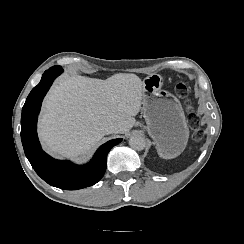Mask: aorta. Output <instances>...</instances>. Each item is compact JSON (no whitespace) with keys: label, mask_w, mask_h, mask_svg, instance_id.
<instances>
[{"label":"aorta","mask_w":244,"mask_h":244,"mask_svg":"<svg viewBox=\"0 0 244 244\" xmlns=\"http://www.w3.org/2000/svg\"><path fill=\"white\" fill-rule=\"evenodd\" d=\"M129 145L135 150H143L146 147V141L140 135H133L129 139Z\"/></svg>","instance_id":"762f6f07"}]
</instances>
